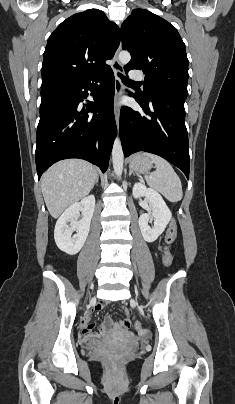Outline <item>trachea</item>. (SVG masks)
<instances>
[{
	"label": "trachea",
	"instance_id": "1",
	"mask_svg": "<svg viewBox=\"0 0 235 404\" xmlns=\"http://www.w3.org/2000/svg\"><path fill=\"white\" fill-rule=\"evenodd\" d=\"M119 77L122 79V81H123L124 83H136V82H134L133 80H130V79L126 78L125 76H123V75L120 74V73H119Z\"/></svg>",
	"mask_w": 235,
	"mask_h": 404
}]
</instances>
